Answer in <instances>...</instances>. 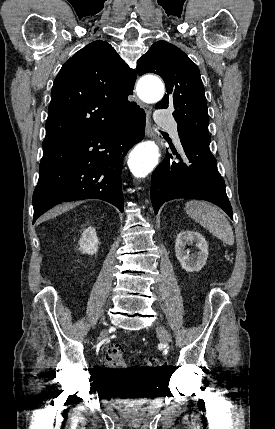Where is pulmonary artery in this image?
<instances>
[{"label": "pulmonary artery", "instance_id": "obj_1", "mask_svg": "<svg viewBox=\"0 0 275 429\" xmlns=\"http://www.w3.org/2000/svg\"><path fill=\"white\" fill-rule=\"evenodd\" d=\"M155 120L158 124H160L161 126L167 127L171 133V135L173 136L175 142L179 145L180 141H179V137H178V129H177V125L175 123V121L173 120L172 117H170L169 115L162 113V112H158L156 114Z\"/></svg>", "mask_w": 275, "mask_h": 429}]
</instances>
